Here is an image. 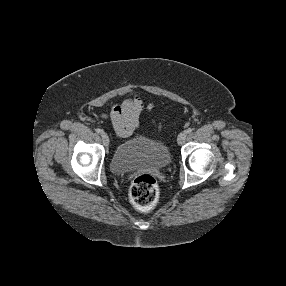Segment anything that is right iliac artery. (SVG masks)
<instances>
[{
    "label": "right iliac artery",
    "mask_w": 286,
    "mask_h": 286,
    "mask_svg": "<svg viewBox=\"0 0 286 286\" xmlns=\"http://www.w3.org/2000/svg\"><path fill=\"white\" fill-rule=\"evenodd\" d=\"M96 132H97L98 134H101L103 131H102L100 128H97V129H96Z\"/></svg>",
    "instance_id": "right-iliac-artery-1"
}]
</instances>
